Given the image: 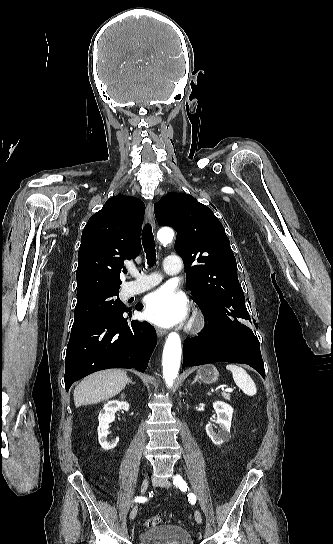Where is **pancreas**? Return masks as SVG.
I'll return each instance as SVG.
<instances>
[{
	"mask_svg": "<svg viewBox=\"0 0 333 544\" xmlns=\"http://www.w3.org/2000/svg\"><path fill=\"white\" fill-rule=\"evenodd\" d=\"M222 396H223L226 400H230V394H229V393H223Z\"/></svg>",
	"mask_w": 333,
	"mask_h": 544,
	"instance_id": "pancreas-1",
	"label": "pancreas"
}]
</instances>
